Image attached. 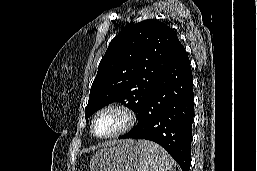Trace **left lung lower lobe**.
I'll return each mask as SVG.
<instances>
[{
	"instance_id": "1",
	"label": "left lung lower lobe",
	"mask_w": 257,
	"mask_h": 171,
	"mask_svg": "<svg viewBox=\"0 0 257 171\" xmlns=\"http://www.w3.org/2000/svg\"><path fill=\"white\" fill-rule=\"evenodd\" d=\"M192 80L189 57L182 47L165 69L137 125L119 139L154 141L177 161L182 171H189L194 116Z\"/></svg>"
}]
</instances>
